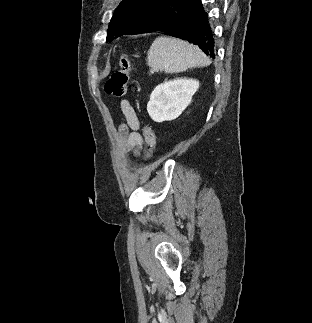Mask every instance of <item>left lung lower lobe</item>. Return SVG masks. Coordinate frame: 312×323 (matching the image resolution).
<instances>
[{
	"label": "left lung lower lobe",
	"instance_id": "0a47b994",
	"mask_svg": "<svg viewBox=\"0 0 312 323\" xmlns=\"http://www.w3.org/2000/svg\"><path fill=\"white\" fill-rule=\"evenodd\" d=\"M169 9V13L149 32H163L187 40L214 58L213 22L202 0H173Z\"/></svg>",
	"mask_w": 312,
	"mask_h": 323
}]
</instances>
